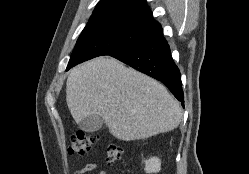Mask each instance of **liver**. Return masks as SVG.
<instances>
[{"label": "liver", "instance_id": "obj_1", "mask_svg": "<svg viewBox=\"0 0 249 174\" xmlns=\"http://www.w3.org/2000/svg\"><path fill=\"white\" fill-rule=\"evenodd\" d=\"M66 101L76 123L99 115L117 139H145L174 130L182 109L156 80L118 60L98 57L73 68Z\"/></svg>", "mask_w": 249, "mask_h": 174}]
</instances>
